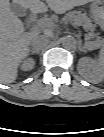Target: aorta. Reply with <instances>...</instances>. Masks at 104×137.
I'll return each instance as SVG.
<instances>
[{
  "label": "aorta",
  "mask_w": 104,
  "mask_h": 137,
  "mask_svg": "<svg viewBox=\"0 0 104 137\" xmlns=\"http://www.w3.org/2000/svg\"><path fill=\"white\" fill-rule=\"evenodd\" d=\"M63 48L67 50H73L76 48L77 42L72 36H65L61 40Z\"/></svg>",
  "instance_id": "obj_1"
}]
</instances>
